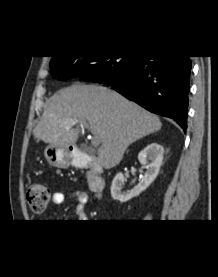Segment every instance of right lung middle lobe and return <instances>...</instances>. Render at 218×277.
Instances as JSON below:
<instances>
[{
	"label": "right lung middle lobe",
	"instance_id": "right-lung-middle-lobe-1",
	"mask_svg": "<svg viewBox=\"0 0 218 277\" xmlns=\"http://www.w3.org/2000/svg\"><path fill=\"white\" fill-rule=\"evenodd\" d=\"M140 56H59L51 60V74L59 79L80 76L81 79L118 81L128 73Z\"/></svg>",
	"mask_w": 218,
	"mask_h": 277
}]
</instances>
